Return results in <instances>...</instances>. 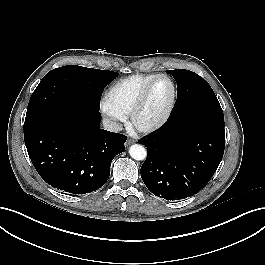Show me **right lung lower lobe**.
Listing matches in <instances>:
<instances>
[{"mask_svg":"<svg viewBox=\"0 0 265 265\" xmlns=\"http://www.w3.org/2000/svg\"><path fill=\"white\" fill-rule=\"evenodd\" d=\"M100 120L99 110L65 105L24 127L29 157L46 183L70 194L106 183L126 136L100 129Z\"/></svg>","mask_w":265,"mask_h":265,"instance_id":"98d812e1","label":"right lung lower lobe"}]
</instances>
